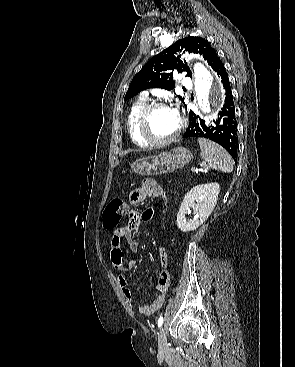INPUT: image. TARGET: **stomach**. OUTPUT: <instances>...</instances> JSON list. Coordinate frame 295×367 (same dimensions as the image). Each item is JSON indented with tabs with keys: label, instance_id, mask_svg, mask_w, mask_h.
I'll list each match as a JSON object with an SVG mask.
<instances>
[{
	"label": "stomach",
	"instance_id": "0dacf381",
	"mask_svg": "<svg viewBox=\"0 0 295 367\" xmlns=\"http://www.w3.org/2000/svg\"><path fill=\"white\" fill-rule=\"evenodd\" d=\"M192 157L190 150L187 148L176 147L169 152L139 159L131 165V168L140 175L166 174L184 167Z\"/></svg>",
	"mask_w": 295,
	"mask_h": 367
}]
</instances>
